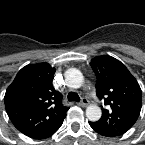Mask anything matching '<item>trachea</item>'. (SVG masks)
I'll use <instances>...</instances> for the list:
<instances>
[{"label":"trachea","instance_id":"3493384b","mask_svg":"<svg viewBox=\"0 0 145 145\" xmlns=\"http://www.w3.org/2000/svg\"><path fill=\"white\" fill-rule=\"evenodd\" d=\"M67 98L69 101H77V102L80 101V97L78 96L77 93L74 92H69Z\"/></svg>","mask_w":145,"mask_h":145}]
</instances>
